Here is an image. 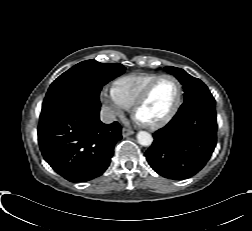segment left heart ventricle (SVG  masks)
I'll return each mask as SVG.
<instances>
[{
    "mask_svg": "<svg viewBox=\"0 0 252 231\" xmlns=\"http://www.w3.org/2000/svg\"><path fill=\"white\" fill-rule=\"evenodd\" d=\"M176 97V83L169 78L161 80L154 87L147 101L139 108L137 118L145 123L160 120L171 110Z\"/></svg>",
    "mask_w": 252,
    "mask_h": 231,
    "instance_id": "1",
    "label": "left heart ventricle"
}]
</instances>
